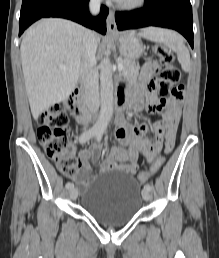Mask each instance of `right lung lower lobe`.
<instances>
[{
	"label": "right lung lower lobe",
	"instance_id": "right-lung-lower-lobe-1",
	"mask_svg": "<svg viewBox=\"0 0 219 258\" xmlns=\"http://www.w3.org/2000/svg\"><path fill=\"white\" fill-rule=\"evenodd\" d=\"M88 2L89 0H23L19 19V36L33 22L43 17L70 19L105 34L108 8L101 6L99 16L92 17L87 9Z\"/></svg>",
	"mask_w": 219,
	"mask_h": 258
}]
</instances>
